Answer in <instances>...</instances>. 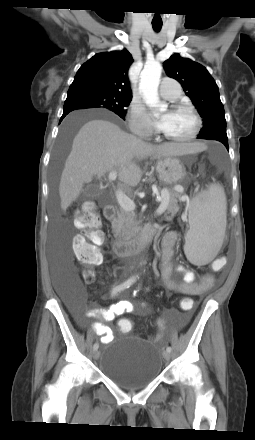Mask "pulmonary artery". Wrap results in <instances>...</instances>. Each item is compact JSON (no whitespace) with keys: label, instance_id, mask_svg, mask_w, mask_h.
I'll return each instance as SVG.
<instances>
[{"label":"pulmonary artery","instance_id":"obj_1","mask_svg":"<svg viewBox=\"0 0 255 440\" xmlns=\"http://www.w3.org/2000/svg\"><path fill=\"white\" fill-rule=\"evenodd\" d=\"M160 95L166 100H176L181 94L178 83L172 78H163L159 88Z\"/></svg>","mask_w":255,"mask_h":440}]
</instances>
